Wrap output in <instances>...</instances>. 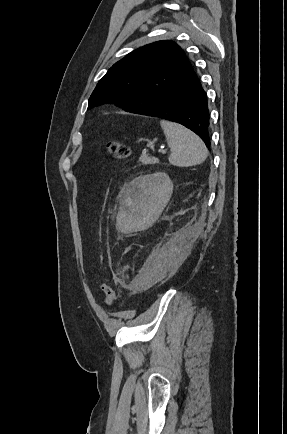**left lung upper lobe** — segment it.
Here are the masks:
<instances>
[{
	"instance_id": "5c2ea615",
	"label": "left lung upper lobe",
	"mask_w": 287,
	"mask_h": 434,
	"mask_svg": "<svg viewBox=\"0 0 287 434\" xmlns=\"http://www.w3.org/2000/svg\"><path fill=\"white\" fill-rule=\"evenodd\" d=\"M192 70L176 43L165 40L145 45L108 70L90 96L88 109L115 103L138 113L155 105Z\"/></svg>"
}]
</instances>
